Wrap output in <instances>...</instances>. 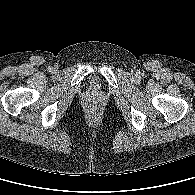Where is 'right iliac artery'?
Here are the masks:
<instances>
[{
    "mask_svg": "<svg viewBox=\"0 0 195 195\" xmlns=\"http://www.w3.org/2000/svg\"><path fill=\"white\" fill-rule=\"evenodd\" d=\"M52 69H53L52 67H49V68H48L49 71H52Z\"/></svg>",
    "mask_w": 195,
    "mask_h": 195,
    "instance_id": "1",
    "label": "right iliac artery"
}]
</instances>
